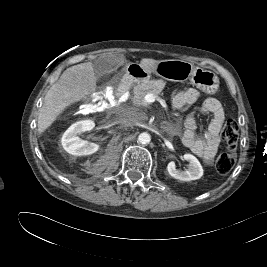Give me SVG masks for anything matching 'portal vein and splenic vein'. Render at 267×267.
<instances>
[{
    "mask_svg": "<svg viewBox=\"0 0 267 267\" xmlns=\"http://www.w3.org/2000/svg\"><path fill=\"white\" fill-rule=\"evenodd\" d=\"M156 100L162 102L163 104H165L164 100H162L161 98H159L158 96H155L154 94L152 93H149V94H146L144 96V101L145 103H152V102H155Z\"/></svg>",
    "mask_w": 267,
    "mask_h": 267,
    "instance_id": "portal-vein-and-splenic-vein-1",
    "label": "portal vein and splenic vein"
}]
</instances>
